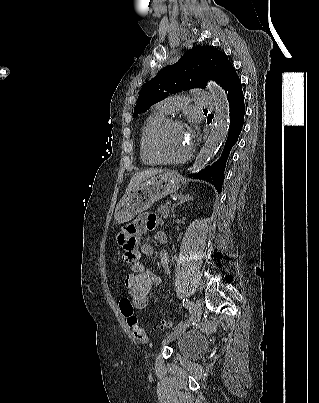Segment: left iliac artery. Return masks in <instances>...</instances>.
<instances>
[{"label":"left iliac artery","mask_w":319,"mask_h":403,"mask_svg":"<svg viewBox=\"0 0 319 403\" xmlns=\"http://www.w3.org/2000/svg\"><path fill=\"white\" fill-rule=\"evenodd\" d=\"M183 306H184L185 308H188V306H189L188 299H183ZM187 324H188V322L185 323V324L183 325V327H186Z\"/></svg>","instance_id":"left-iliac-artery-1"}]
</instances>
